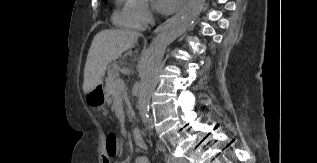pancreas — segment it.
<instances>
[{"instance_id":"cf45deb5","label":"pancreas","mask_w":317,"mask_h":163,"mask_svg":"<svg viewBox=\"0 0 317 163\" xmlns=\"http://www.w3.org/2000/svg\"><path fill=\"white\" fill-rule=\"evenodd\" d=\"M118 68V63H113L112 67L108 70L105 91L108 95V101H112L116 96H120V98L124 99L128 107L127 113L129 114V118H132L133 110L128 96L124 90L117 89L116 86V81L119 79Z\"/></svg>"}]
</instances>
